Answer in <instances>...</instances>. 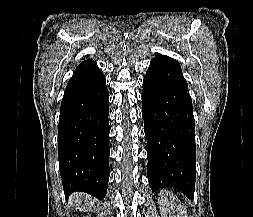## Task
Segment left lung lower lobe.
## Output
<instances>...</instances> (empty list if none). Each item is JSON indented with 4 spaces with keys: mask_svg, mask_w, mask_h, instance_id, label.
<instances>
[{
    "mask_svg": "<svg viewBox=\"0 0 253 217\" xmlns=\"http://www.w3.org/2000/svg\"><path fill=\"white\" fill-rule=\"evenodd\" d=\"M142 115L152 191L174 187L193 197L196 179L192 100L181 67L157 55L143 79Z\"/></svg>",
    "mask_w": 253,
    "mask_h": 217,
    "instance_id": "0a47b994",
    "label": "left lung lower lobe"
}]
</instances>
